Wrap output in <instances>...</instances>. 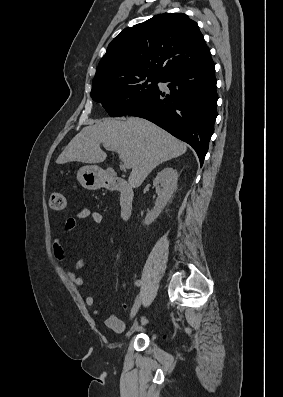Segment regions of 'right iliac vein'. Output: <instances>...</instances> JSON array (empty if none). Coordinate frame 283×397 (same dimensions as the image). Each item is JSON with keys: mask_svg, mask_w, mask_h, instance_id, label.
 Returning a JSON list of instances; mask_svg holds the SVG:
<instances>
[{"mask_svg": "<svg viewBox=\"0 0 283 397\" xmlns=\"http://www.w3.org/2000/svg\"><path fill=\"white\" fill-rule=\"evenodd\" d=\"M140 305H141V298L138 296L136 304H134V306L131 310L130 319H132L136 315V313L138 312V310L140 308Z\"/></svg>", "mask_w": 283, "mask_h": 397, "instance_id": "right-iliac-vein-1", "label": "right iliac vein"}]
</instances>
